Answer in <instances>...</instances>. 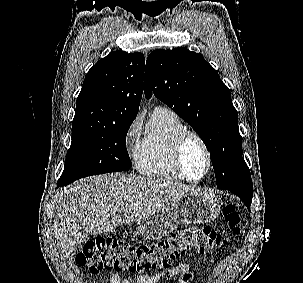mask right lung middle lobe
<instances>
[{
  "mask_svg": "<svg viewBox=\"0 0 303 283\" xmlns=\"http://www.w3.org/2000/svg\"><path fill=\"white\" fill-rule=\"evenodd\" d=\"M132 122H72L71 147L60 180L70 184L83 177L130 169L126 134Z\"/></svg>",
  "mask_w": 303,
  "mask_h": 283,
  "instance_id": "dd1d6c3e",
  "label": "right lung middle lobe"
}]
</instances>
